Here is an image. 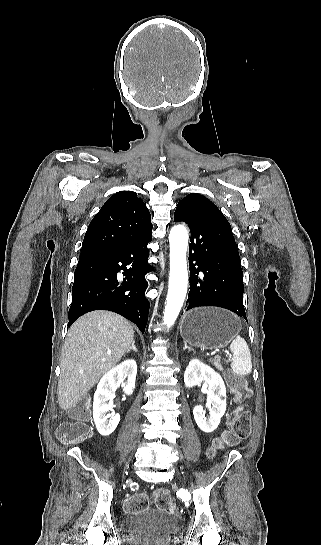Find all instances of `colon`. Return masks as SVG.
Returning <instances> with one entry per match:
<instances>
[{"label": "colon", "instance_id": "1", "mask_svg": "<svg viewBox=\"0 0 321 545\" xmlns=\"http://www.w3.org/2000/svg\"><path fill=\"white\" fill-rule=\"evenodd\" d=\"M227 382L232 394L237 400H242L250 395L248 384L232 372L227 373ZM72 420L60 426L58 429V439L64 444H78L84 440L88 433L90 410L86 402L80 403L70 409ZM251 416L248 411H239L233 415L230 420V429L216 441L215 448L223 445L235 446L242 440H245L250 433ZM169 513L176 512V506L172 502L169 494L165 490H158L153 496L148 494H136L128 497L123 504L126 512H135L146 509L152 502Z\"/></svg>", "mask_w": 321, "mask_h": 545}]
</instances>
